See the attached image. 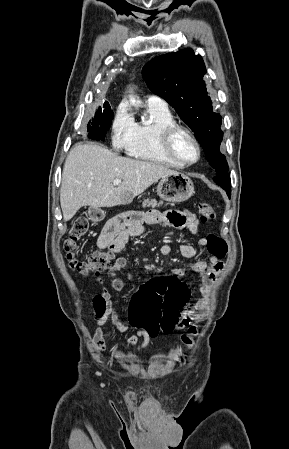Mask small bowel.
<instances>
[{"label": "small bowel", "mask_w": 289, "mask_h": 449, "mask_svg": "<svg viewBox=\"0 0 289 449\" xmlns=\"http://www.w3.org/2000/svg\"><path fill=\"white\" fill-rule=\"evenodd\" d=\"M165 224L175 228H187L193 235H197L200 229V220L197 215L189 210H170L166 212H158L150 210L147 212H139L129 215L128 217H119L109 221L100 237L97 240V246L99 248H108L114 253H119L127 244L128 240L132 237L141 236L144 233V225ZM207 248V239L202 237L197 241V247L191 244H182L180 246V253L184 258L191 259L196 256L197 249ZM160 253L163 256L171 254V247L168 244H164L160 247ZM128 261L124 257H118L114 264L109 268L108 276L110 283L115 291H122L125 287V280L117 276V272L127 267ZM223 268L222 259L216 258L211 255L209 262L199 260L190 265V270L200 277L198 288L205 294V296L196 302L191 307H185L182 312L181 323L176 327L182 329L192 323L201 322L205 319L209 306L208 290L209 285L215 280L216 276ZM146 271L153 269L152 265H145ZM172 277L182 278L185 275V269L182 267H176L171 271ZM127 279H132L130 273L127 274ZM103 277H99L97 282L102 285ZM101 297L104 301L103 311L98 315L97 325L98 328L94 333V345L99 351H104L106 345L103 337L102 326L107 322H111L117 331L125 332L128 330V324L121 320L118 314L115 312L111 295L105 290L101 289ZM142 338L141 349L144 350L150 343V337L148 333L142 329H138L127 340V345L133 347L137 344L139 339Z\"/></svg>", "instance_id": "1"}]
</instances>
